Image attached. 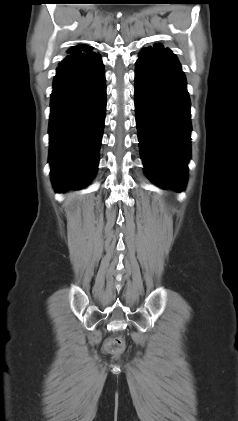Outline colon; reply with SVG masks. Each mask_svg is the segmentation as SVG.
<instances>
[{
    "label": "colon",
    "instance_id": "1",
    "mask_svg": "<svg viewBox=\"0 0 238 421\" xmlns=\"http://www.w3.org/2000/svg\"><path fill=\"white\" fill-rule=\"evenodd\" d=\"M125 349L124 340L120 337H113L106 341L105 350L114 356H119Z\"/></svg>",
    "mask_w": 238,
    "mask_h": 421
}]
</instances>
